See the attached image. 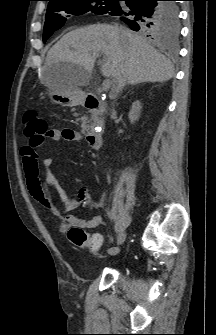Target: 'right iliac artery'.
I'll return each instance as SVG.
<instances>
[{
    "instance_id": "82829eb1",
    "label": "right iliac artery",
    "mask_w": 216,
    "mask_h": 335,
    "mask_svg": "<svg viewBox=\"0 0 216 335\" xmlns=\"http://www.w3.org/2000/svg\"><path fill=\"white\" fill-rule=\"evenodd\" d=\"M108 216L112 218L110 212H108ZM118 252H119V249L117 247H111L108 249V253L110 255H116Z\"/></svg>"
}]
</instances>
